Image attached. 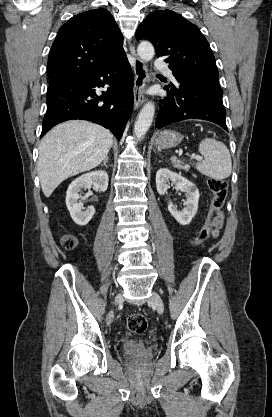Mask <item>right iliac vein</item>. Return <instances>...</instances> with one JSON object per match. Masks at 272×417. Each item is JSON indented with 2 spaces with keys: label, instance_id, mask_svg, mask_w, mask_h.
Wrapping results in <instances>:
<instances>
[{
  "label": "right iliac vein",
  "instance_id": "63e3f726",
  "mask_svg": "<svg viewBox=\"0 0 272 417\" xmlns=\"http://www.w3.org/2000/svg\"><path fill=\"white\" fill-rule=\"evenodd\" d=\"M123 300V296L121 294H117L114 300V303L117 305Z\"/></svg>",
  "mask_w": 272,
  "mask_h": 417
}]
</instances>
